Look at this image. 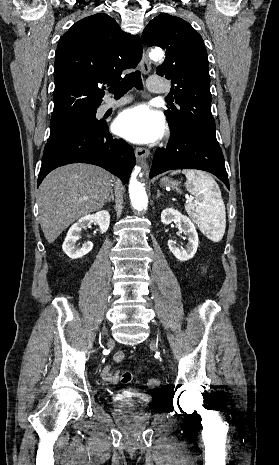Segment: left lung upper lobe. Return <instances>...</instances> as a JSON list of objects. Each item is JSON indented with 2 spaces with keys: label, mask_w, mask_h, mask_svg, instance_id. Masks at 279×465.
I'll return each mask as SVG.
<instances>
[{
  "label": "left lung upper lobe",
  "mask_w": 279,
  "mask_h": 465,
  "mask_svg": "<svg viewBox=\"0 0 279 465\" xmlns=\"http://www.w3.org/2000/svg\"><path fill=\"white\" fill-rule=\"evenodd\" d=\"M147 46H159L166 59L156 71L171 80L170 101L165 115L171 134L191 131L217 142L211 113L207 51L201 36L186 21L161 13L142 33Z\"/></svg>",
  "instance_id": "1"
}]
</instances>
